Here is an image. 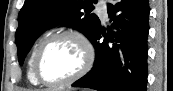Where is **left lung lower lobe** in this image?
Segmentation results:
<instances>
[{
  "instance_id": "1",
  "label": "left lung lower lobe",
  "mask_w": 173,
  "mask_h": 91,
  "mask_svg": "<svg viewBox=\"0 0 173 91\" xmlns=\"http://www.w3.org/2000/svg\"><path fill=\"white\" fill-rule=\"evenodd\" d=\"M148 0H114L108 4L112 22L107 32L99 24L90 39L95 47L93 68L73 87L100 91H146ZM106 36L100 41L101 36Z\"/></svg>"
}]
</instances>
